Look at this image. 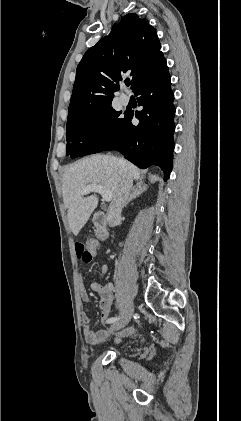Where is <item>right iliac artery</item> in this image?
Wrapping results in <instances>:
<instances>
[{
	"instance_id": "1",
	"label": "right iliac artery",
	"mask_w": 241,
	"mask_h": 421,
	"mask_svg": "<svg viewBox=\"0 0 241 421\" xmlns=\"http://www.w3.org/2000/svg\"><path fill=\"white\" fill-rule=\"evenodd\" d=\"M119 319H120L119 317H111L107 320V323H114L118 321Z\"/></svg>"
}]
</instances>
